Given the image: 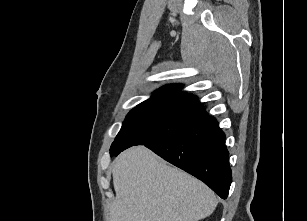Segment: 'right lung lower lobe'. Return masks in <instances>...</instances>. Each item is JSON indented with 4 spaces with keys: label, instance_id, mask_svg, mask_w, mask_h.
<instances>
[{
    "label": "right lung lower lobe",
    "instance_id": "98d812e1",
    "mask_svg": "<svg viewBox=\"0 0 307 221\" xmlns=\"http://www.w3.org/2000/svg\"><path fill=\"white\" fill-rule=\"evenodd\" d=\"M145 146L227 198L232 182L229 152L225 134L214 117L206 115L187 130Z\"/></svg>",
    "mask_w": 307,
    "mask_h": 221
}]
</instances>
